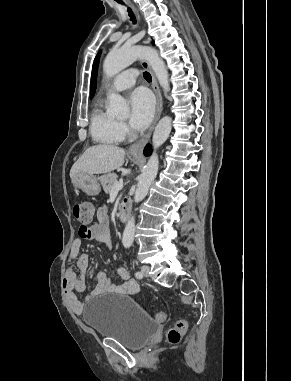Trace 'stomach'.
Returning <instances> with one entry per match:
<instances>
[{
    "label": "stomach",
    "mask_w": 291,
    "mask_h": 381,
    "mask_svg": "<svg viewBox=\"0 0 291 381\" xmlns=\"http://www.w3.org/2000/svg\"><path fill=\"white\" fill-rule=\"evenodd\" d=\"M133 158L137 159L138 156L133 155ZM72 183L77 189L90 196L98 195L100 192L99 182L97 178L91 174L78 173L73 177Z\"/></svg>",
    "instance_id": "1"
}]
</instances>
